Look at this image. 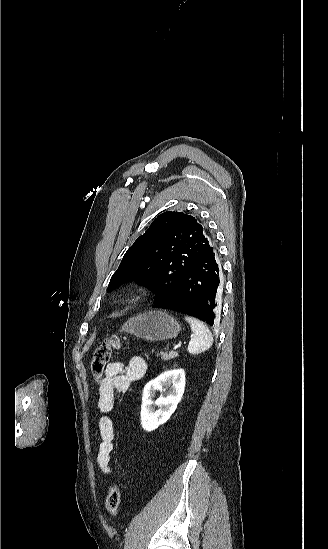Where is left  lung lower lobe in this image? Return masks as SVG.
Instances as JSON below:
<instances>
[{
    "label": "left lung lower lobe",
    "mask_w": 328,
    "mask_h": 549,
    "mask_svg": "<svg viewBox=\"0 0 328 549\" xmlns=\"http://www.w3.org/2000/svg\"><path fill=\"white\" fill-rule=\"evenodd\" d=\"M220 290V271L215 250L209 247L189 266L172 292L155 300L153 307L193 316L212 326L217 317Z\"/></svg>",
    "instance_id": "obj_1"
}]
</instances>
